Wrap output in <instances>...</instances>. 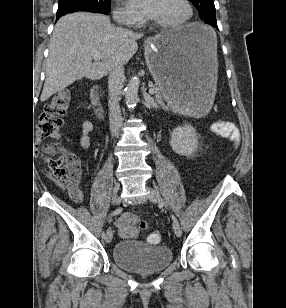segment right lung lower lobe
Masks as SVG:
<instances>
[{
  "label": "right lung lower lobe",
  "instance_id": "right-lung-lower-lobe-1",
  "mask_svg": "<svg viewBox=\"0 0 286 308\" xmlns=\"http://www.w3.org/2000/svg\"><path fill=\"white\" fill-rule=\"evenodd\" d=\"M76 11H88V12H97V13H103L106 14L109 11H105L102 9H98V8H75V9H65L62 11H57V19L59 17H61L62 15L66 14V13H70V12H76Z\"/></svg>",
  "mask_w": 286,
  "mask_h": 308
}]
</instances>
